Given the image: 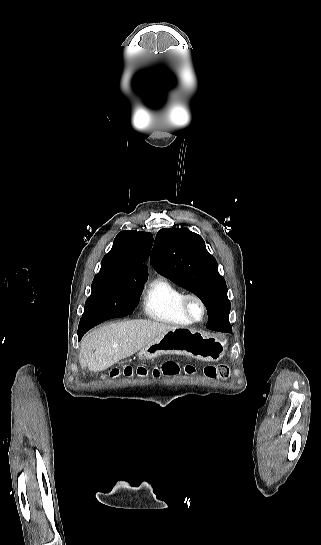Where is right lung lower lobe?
I'll list each match as a JSON object with an SVG mask.
<instances>
[{
    "label": "right lung lower lobe",
    "instance_id": "obj_1",
    "mask_svg": "<svg viewBox=\"0 0 321 545\" xmlns=\"http://www.w3.org/2000/svg\"><path fill=\"white\" fill-rule=\"evenodd\" d=\"M139 297L140 296L134 295H121L106 303V305L101 308L100 317L97 320L92 322L79 323V340L88 330L104 322L105 320L130 315L133 312L134 308L137 306Z\"/></svg>",
    "mask_w": 321,
    "mask_h": 545
}]
</instances>
